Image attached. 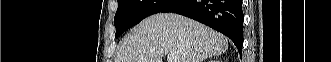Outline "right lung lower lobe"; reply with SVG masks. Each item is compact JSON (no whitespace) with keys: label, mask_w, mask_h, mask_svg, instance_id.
Returning <instances> with one entry per match:
<instances>
[{"label":"right lung lower lobe","mask_w":331,"mask_h":62,"mask_svg":"<svg viewBox=\"0 0 331 62\" xmlns=\"http://www.w3.org/2000/svg\"><path fill=\"white\" fill-rule=\"evenodd\" d=\"M162 12L187 16L229 37L239 53L243 45L242 0H178Z\"/></svg>","instance_id":"obj_1"}]
</instances>
